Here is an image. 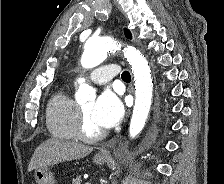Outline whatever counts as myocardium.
I'll return each mask as SVG.
<instances>
[{
  "mask_svg": "<svg viewBox=\"0 0 224 184\" xmlns=\"http://www.w3.org/2000/svg\"><path fill=\"white\" fill-rule=\"evenodd\" d=\"M76 134L77 138L86 142H96L103 139L106 135L105 131L98 130L90 132L87 127L86 118L81 107H78L76 120Z\"/></svg>",
  "mask_w": 224,
  "mask_h": 184,
  "instance_id": "myocardium-1",
  "label": "myocardium"
}]
</instances>
